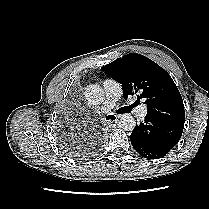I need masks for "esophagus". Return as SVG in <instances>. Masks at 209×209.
<instances>
[{"label":"esophagus","mask_w":209,"mask_h":209,"mask_svg":"<svg viewBox=\"0 0 209 209\" xmlns=\"http://www.w3.org/2000/svg\"><path fill=\"white\" fill-rule=\"evenodd\" d=\"M107 117H109L110 119H107L108 123H114L117 122V120L119 119L118 115L115 114H109Z\"/></svg>","instance_id":"obj_1"}]
</instances>
